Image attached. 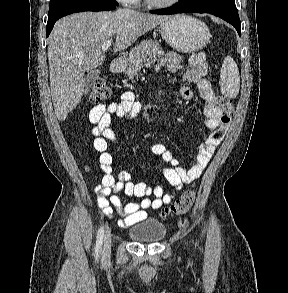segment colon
Returning a JSON list of instances; mask_svg holds the SVG:
<instances>
[{
  "label": "colon",
  "mask_w": 288,
  "mask_h": 293,
  "mask_svg": "<svg viewBox=\"0 0 288 293\" xmlns=\"http://www.w3.org/2000/svg\"><path fill=\"white\" fill-rule=\"evenodd\" d=\"M111 96V89L106 85V83L102 80H98L94 83L90 95V99L92 102L97 103L102 100H105ZM218 103L224 112V116L229 118V116L233 113V106L231 101L224 97H217ZM195 200V191L193 189H189L185 191L180 198H178L173 204L166 207L162 212L163 216H176L182 215L186 213L191 206L193 205Z\"/></svg>",
  "instance_id": "1"
}]
</instances>
